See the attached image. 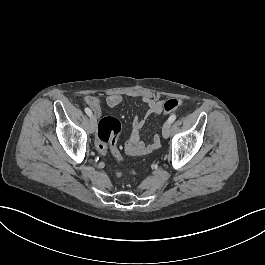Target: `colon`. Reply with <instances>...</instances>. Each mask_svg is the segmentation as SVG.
I'll return each instance as SVG.
<instances>
[{
	"label": "colon",
	"mask_w": 265,
	"mask_h": 265,
	"mask_svg": "<svg viewBox=\"0 0 265 265\" xmlns=\"http://www.w3.org/2000/svg\"><path fill=\"white\" fill-rule=\"evenodd\" d=\"M177 98L168 97V100L164 103V113L170 116L173 111L177 112L181 107V103ZM122 130L121 122L114 116H104L100 119L97 132V150L104 154L109 146H116L118 138ZM117 160H121L119 154H116Z\"/></svg>",
	"instance_id": "obj_1"
}]
</instances>
